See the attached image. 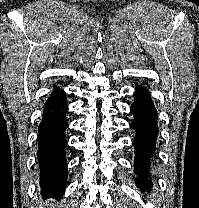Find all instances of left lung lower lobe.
Here are the masks:
<instances>
[{
    "mask_svg": "<svg viewBox=\"0 0 199 208\" xmlns=\"http://www.w3.org/2000/svg\"><path fill=\"white\" fill-rule=\"evenodd\" d=\"M134 104L130 108V112L135 115L130 127L136 131V136L133 141L135 146V169L138 178L136 184L140 188L151 186L146 178L149 173L146 171L150 166L149 157L155 149V143L158 133L157 111L153 101L150 98V93L146 88L137 87L134 93Z\"/></svg>",
    "mask_w": 199,
    "mask_h": 208,
    "instance_id": "1",
    "label": "left lung lower lobe"
}]
</instances>
